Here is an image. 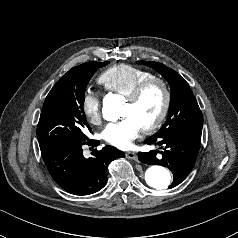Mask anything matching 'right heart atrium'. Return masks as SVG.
<instances>
[{
	"label": "right heart atrium",
	"mask_w": 238,
	"mask_h": 238,
	"mask_svg": "<svg viewBox=\"0 0 238 238\" xmlns=\"http://www.w3.org/2000/svg\"><path fill=\"white\" fill-rule=\"evenodd\" d=\"M82 109L86 117L94 124L101 121V96L98 92L88 90L82 97Z\"/></svg>",
	"instance_id": "1"
}]
</instances>
